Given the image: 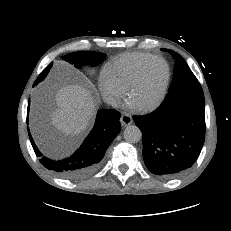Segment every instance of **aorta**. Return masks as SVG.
Segmentation results:
<instances>
[{
    "instance_id": "1",
    "label": "aorta",
    "mask_w": 231,
    "mask_h": 231,
    "mask_svg": "<svg viewBox=\"0 0 231 231\" xmlns=\"http://www.w3.org/2000/svg\"><path fill=\"white\" fill-rule=\"evenodd\" d=\"M123 137L128 143H137L141 140L142 133L136 125H129L125 128Z\"/></svg>"
}]
</instances>
